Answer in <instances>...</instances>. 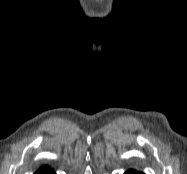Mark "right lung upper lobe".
<instances>
[{
	"instance_id": "1",
	"label": "right lung upper lobe",
	"mask_w": 187,
	"mask_h": 174,
	"mask_svg": "<svg viewBox=\"0 0 187 174\" xmlns=\"http://www.w3.org/2000/svg\"><path fill=\"white\" fill-rule=\"evenodd\" d=\"M46 171H51L49 168L41 167L35 174H42Z\"/></svg>"
}]
</instances>
